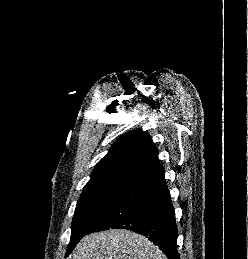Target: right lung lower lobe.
<instances>
[{"label":"right lung lower lobe","mask_w":248,"mask_h":259,"mask_svg":"<svg viewBox=\"0 0 248 259\" xmlns=\"http://www.w3.org/2000/svg\"><path fill=\"white\" fill-rule=\"evenodd\" d=\"M115 228L144 235L168 259H180L177 251L178 229L164 169L133 184L88 234Z\"/></svg>","instance_id":"98d812e1"}]
</instances>
